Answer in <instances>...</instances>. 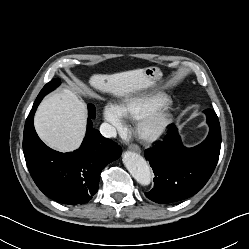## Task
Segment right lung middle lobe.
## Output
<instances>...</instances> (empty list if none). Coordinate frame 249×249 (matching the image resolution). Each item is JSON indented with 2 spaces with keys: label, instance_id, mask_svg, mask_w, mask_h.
I'll return each instance as SVG.
<instances>
[{
  "label": "right lung middle lobe",
  "instance_id": "right-lung-middle-lobe-1",
  "mask_svg": "<svg viewBox=\"0 0 249 249\" xmlns=\"http://www.w3.org/2000/svg\"><path fill=\"white\" fill-rule=\"evenodd\" d=\"M60 85V80L59 79H52L49 83H47L43 89L41 90V92L39 93V96L44 97L46 94H48L49 92H51L52 90H54L57 86ZM95 107L93 104H88V114L89 117L94 119L95 118Z\"/></svg>",
  "mask_w": 249,
  "mask_h": 249
}]
</instances>
